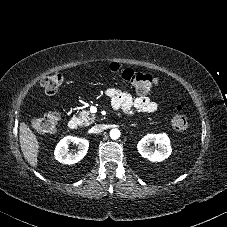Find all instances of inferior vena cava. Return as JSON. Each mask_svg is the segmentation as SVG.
I'll return each mask as SVG.
<instances>
[{
    "label": "inferior vena cava",
    "instance_id": "602c4592",
    "mask_svg": "<svg viewBox=\"0 0 227 227\" xmlns=\"http://www.w3.org/2000/svg\"><path fill=\"white\" fill-rule=\"evenodd\" d=\"M105 129V126L102 124L96 125L92 127V132L93 133H101Z\"/></svg>",
    "mask_w": 227,
    "mask_h": 227
}]
</instances>
